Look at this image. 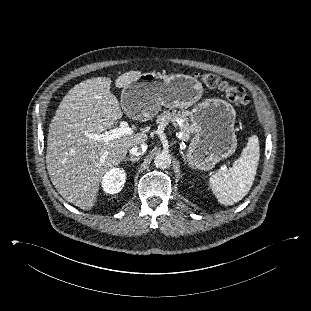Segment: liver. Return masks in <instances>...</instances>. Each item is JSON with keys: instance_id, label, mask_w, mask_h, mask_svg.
Masks as SVG:
<instances>
[{"instance_id": "1", "label": "liver", "mask_w": 311, "mask_h": 311, "mask_svg": "<svg viewBox=\"0 0 311 311\" xmlns=\"http://www.w3.org/2000/svg\"><path fill=\"white\" fill-rule=\"evenodd\" d=\"M141 75L140 71L125 72L115 86L124 88ZM110 88L108 77L75 85L60 102L49 125L46 166L50 179L66 201L84 210L93 207L104 174L118 165L131 147L148 139L144 131L109 142L91 138L110 129L123 115Z\"/></svg>"}]
</instances>
